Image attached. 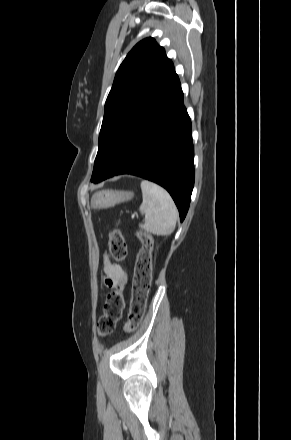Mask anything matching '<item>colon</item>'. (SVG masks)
Segmentation results:
<instances>
[{"instance_id": "1", "label": "colon", "mask_w": 291, "mask_h": 440, "mask_svg": "<svg viewBox=\"0 0 291 440\" xmlns=\"http://www.w3.org/2000/svg\"><path fill=\"white\" fill-rule=\"evenodd\" d=\"M138 238L141 247L138 251L134 268V285L131 306L128 320L125 324L126 331L136 329L141 323L148 294L152 282V253L153 240L147 234L140 233ZM109 249L112 257L121 262L126 258L127 246L121 231L117 228L111 230L109 234ZM123 308L122 286H118L106 298L103 313L97 322L98 333L102 336L108 335L114 329L116 322L120 319Z\"/></svg>"}]
</instances>
